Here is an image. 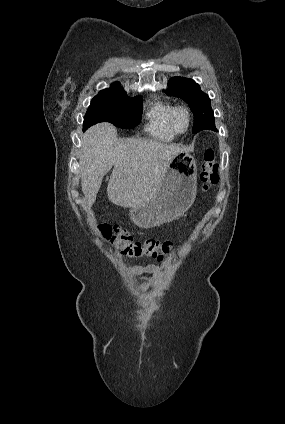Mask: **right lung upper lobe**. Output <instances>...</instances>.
Wrapping results in <instances>:
<instances>
[{"mask_svg": "<svg viewBox=\"0 0 285 424\" xmlns=\"http://www.w3.org/2000/svg\"><path fill=\"white\" fill-rule=\"evenodd\" d=\"M111 90H122V87L120 86V84L118 82H115V83L111 84L109 89H105V90H102V91H111ZM102 91H100V92H102Z\"/></svg>", "mask_w": 285, "mask_h": 424, "instance_id": "obj_1", "label": "right lung upper lobe"}]
</instances>
